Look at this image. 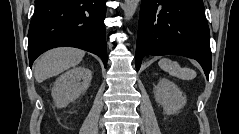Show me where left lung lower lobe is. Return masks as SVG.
Returning a JSON list of instances; mask_svg holds the SVG:
<instances>
[{
	"mask_svg": "<svg viewBox=\"0 0 239 134\" xmlns=\"http://www.w3.org/2000/svg\"><path fill=\"white\" fill-rule=\"evenodd\" d=\"M168 54L197 60L208 78L212 58L203 0H142L136 69L146 55Z\"/></svg>",
	"mask_w": 239,
	"mask_h": 134,
	"instance_id": "0a47b994",
	"label": "left lung lower lobe"
}]
</instances>
